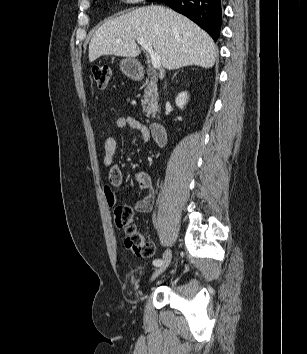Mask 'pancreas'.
Wrapping results in <instances>:
<instances>
[{"label": "pancreas", "instance_id": "cf45deb5", "mask_svg": "<svg viewBox=\"0 0 307 354\" xmlns=\"http://www.w3.org/2000/svg\"><path fill=\"white\" fill-rule=\"evenodd\" d=\"M144 98L142 99L143 112L147 115L153 113L157 108V86L154 79L146 80V88L144 90Z\"/></svg>", "mask_w": 307, "mask_h": 354}]
</instances>
